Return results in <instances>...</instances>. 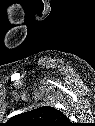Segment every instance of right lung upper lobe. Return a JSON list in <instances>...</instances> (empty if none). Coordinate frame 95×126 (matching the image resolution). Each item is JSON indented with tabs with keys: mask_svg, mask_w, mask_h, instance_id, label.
I'll use <instances>...</instances> for the list:
<instances>
[{
	"mask_svg": "<svg viewBox=\"0 0 95 126\" xmlns=\"http://www.w3.org/2000/svg\"><path fill=\"white\" fill-rule=\"evenodd\" d=\"M16 126H69V119L54 107L45 106L10 119Z\"/></svg>",
	"mask_w": 95,
	"mask_h": 126,
	"instance_id": "1",
	"label": "right lung upper lobe"
}]
</instances>
